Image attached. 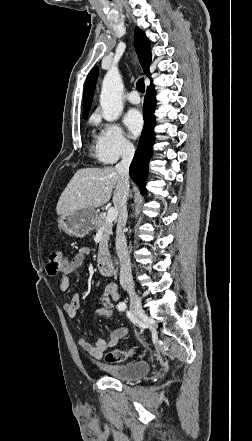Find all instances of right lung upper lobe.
<instances>
[{"label":"right lung upper lobe","mask_w":252,"mask_h":441,"mask_svg":"<svg viewBox=\"0 0 252 441\" xmlns=\"http://www.w3.org/2000/svg\"><path fill=\"white\" fill-rule=\"evenodd\" d=\"M135 49L144 73L150 77L149 66L151 63V45L149 39L146 37L144 32L138 27L135 28ZM97 77L98 68L94 67L89 72L84 87L83 118H86L89 114Z\"/></svg>","instance_id":"cb5924a9"}]
</instances>
